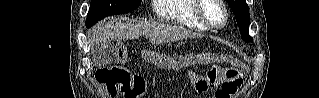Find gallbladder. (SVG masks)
I'll list each match as a JSON object with an SVG mask.
<instances>
[{
    "label": "gallbladder",
    "instance_id": "1",
    "mask_svg": "<svg viewBox=\"0 0 319 98\" xmlns=\"http://www.w3.org/2000/svg\"><path fill=\"white\" fill-rule=\"evenodd\" d=\"M111 44H99L92 49V61L97 66H105L111 63L113 57Z\"/></svg>",
    "mask_w": 319,
    "mask_h": 98
}]
</instances>
